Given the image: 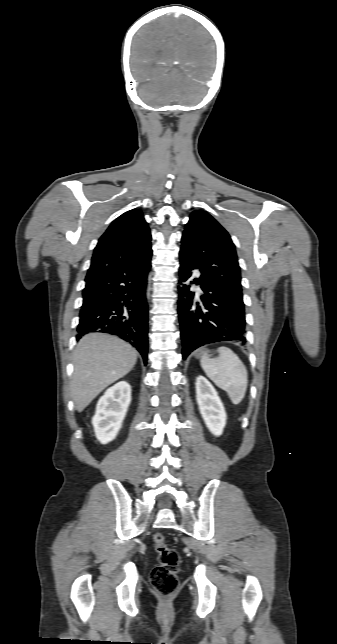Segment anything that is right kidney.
<instances>
[{"label": "right kidney", "mask_w": 337, "mask_h": 644, "mask_svg": "<svg viewBox=\"0 0 337 644\" xmlns=\"http://www.w3.org/2000/svg\"><path fill=\"white\" fill-rule=\"evenodd\" d=\"M131 402V386L121 381L109 388L99 399L92 424L102 444L115 439Z\"/></svg>", "instance_id": "1"}]
</instances>
